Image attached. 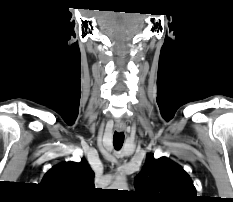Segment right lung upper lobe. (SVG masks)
Segmentation results:
<instances>
[{
    "label": "right lung upper lobe",
    "instance_id": "obj_1",
    "mask_svg": "<svg viewBox=\"0 0 233 202\" xmlns=\"http://www.w3.org/2000/svg\"><path fill=\"white\" fill-rule=\"evenodd\" d=\"M41 184L61 194L83 195L94 189V172L85 159L79 163L63 162L53 166Z\"/></svg>",
    "mask_w": 233,
    "mask_h": 202
}]
</instances>
